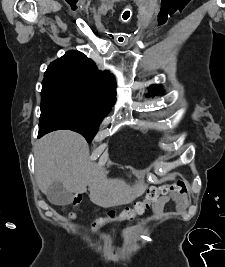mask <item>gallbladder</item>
<instances>
[{"label": "gallbladder", "instance_id": "1", "mask_svg": "<svg viewBox=\"0 0 225 267\" xmlns=\"http://www.w3.org/2000/svg\"><path fill=\"white\" fill-rule=\"evenodd\" d=\"M48 200L55 205H67L72 201L70 193L60 181L52 182L46 192Z\"/></svg>", "mask_w": 225, "mask_h": 267}]
</instances>
